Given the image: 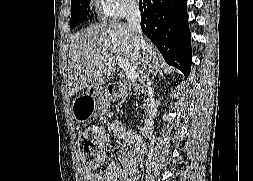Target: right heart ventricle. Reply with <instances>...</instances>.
<instances>
[{
    "mask_svg": "<svg viewBox=\"0 0 253 181\" xmlns=\"http://www.w3.org/2000/svg\"><path fill=\"white\" fill-rule=\"evenodd\" d=\"M92 5L98 18H105L107 16L106 8L102 0H92Z\"/></svg>",
    "mask_w": 253,
    "mask_h": 181,
    "instance_id": "right-heart-ventricle-1",
    "label": "right heart ventricle"
}]
</instances>
